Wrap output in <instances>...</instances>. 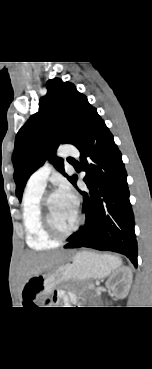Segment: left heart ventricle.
Wrapping results in <instances>:
<instances>
[{
	"mask_svg": "<svg viewBox=\"0 0 152 369\" xmlns=\"http://www.w3.org/2000/svg\"><path fill=\"white\" fill-rule=\"evenodd\" d=\"M49 205L54 224L58 230L68 231L76 221V207L65 202L58 194L51 196Z\"/></svg>",
	"mask_w": 152,
	"mask_h": 369,
	"instance_id": "obj_1",
	"label": "left heart ventricle"
}]
</instances>
